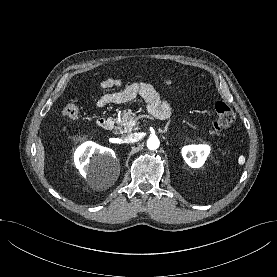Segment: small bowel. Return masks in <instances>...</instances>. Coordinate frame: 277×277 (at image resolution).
I'll return each instance as SVG.
<instances>
[{"label":"small bowel","instance_id":"obj_1","mask_svg":"<svg viewBox=\"0 0 277 277\" xmlns=\"http://www.w3.org/2000/svg\"><path fill=\"white\" fill-rule=\"evenodd\" d=\"M167 85L171 84L169 79H165ZM102 89L120 87L119 79H107L100 84ZM142 97L148 104V110L152 115L159 119H165L169 116L171 107L168 100L163 99L156 89L148 83H132L125 88L111 93H106L97 101V107L102 108L108 104H119L133 100L136 97Z\"/></svg>","mask_w":277,"mask_h":277}]
</instances>
